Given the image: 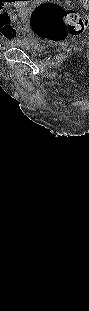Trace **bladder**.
I'll return each instance as SVG.
<instances>
[{
  "mask_svg": "<svg viewBox=\"0 0 89 311\" xmlns=\"http://www.w3.org/2000/svg\"><path fill=\"white\" fill-rule=\"evenodd\" d=\"M12 46L31 53H39L43 50V46L33 38H26L21 41L13 42Z\"/></svg>",
  "mask_w": 89,
  "mask_h": 311,
  "instance_id": "bladder-1",
  "label": "bladder"
}]
</instances>
